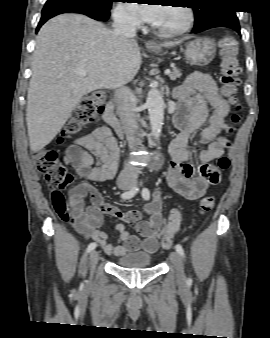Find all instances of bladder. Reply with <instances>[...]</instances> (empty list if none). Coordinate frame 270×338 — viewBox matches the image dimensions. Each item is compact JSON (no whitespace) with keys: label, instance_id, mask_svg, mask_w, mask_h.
<instances>
[{"label":"bladder","instance_id":"obj_1","mask_svg":"<svg viewBox=\"0 0 270 338\" xmlns=\"http://www.w3.org/2000/svg\"><path fill=\"white\" fill-rule=\"evenodd\" d=\"M153 258L150 254H124L117 260V265L126 269H144L152 266Z\"/></svg>","mask_w":270,"mask_h":338}]
</instances>
